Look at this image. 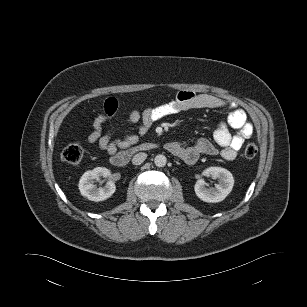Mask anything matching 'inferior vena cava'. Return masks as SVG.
I'll return each instance as SVG.
<instances>
[{
  "label": "inferior vena cava",
  "mask_w": 307,
  "mask_h": 307,
  "mask_svg": "<svg viewBox=\"0 0 307 307\" xmlns=\"http://www.w3.org/2000/svg\"><path fill=\"white\" fill-rule=\"evenodd\" d=\"M146 158H147L146 153L144 152L137 153L136 155L133 156L132 163L134 165H140L141 163L145 161Z\"/></svg>",
  "instance_id": "inferior-vena-cava-1"
}]
</instances>
